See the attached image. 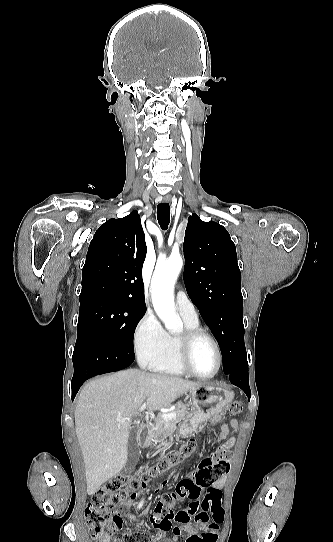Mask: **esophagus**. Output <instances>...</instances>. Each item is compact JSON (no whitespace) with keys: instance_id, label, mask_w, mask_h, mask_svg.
Segmentation results:
<instances>
[{"instance_id":"obj_1","label":"esophagus","mask_w":333,"mask_h":542,"mask_svg":"<svg viewBox=\"0 0 333 542\" xmlns=\"http://www.w3.org/2000/svg\"><path fill=\"white\" fill-rule=\"evenodd\" d=\"M171 200V196L170 195H166L163 197V202H170Z\"/></svg>"}]
</instances>
